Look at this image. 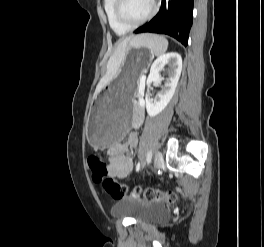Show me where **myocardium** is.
<instances>
[{"label":"myocardium","mask_w":264,"mask_h":247,"mask_svg":"<svg viewBox=\"0 0 264 247\" xmlns=\"http://www.w3.org/2000/svg\"><path fill=\"white\" fill-rule=\"evenodd\" d=\"M125 2L126 0H116L115 15L116 18L119 20V22H121L123 25H125L128 28H135L144 24L153 17V15L157 10L156 1L151 0V7L148 13L143 18L133 21L130 18H128L127 15L125 14Z\"/></svg>","instance_id":"1"}]
</instances>
